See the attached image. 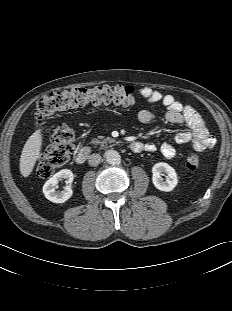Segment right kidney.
<instances>
[{
    "label": "right kidney",
    "mask_w": 232,
    "mask_h": 311,
    "mask_svg": "<svg viewBox=\"0 0 232 311\" xmlns=\"http://www.w3.org/2000/svg\"><path fill=\"white\" fill-rule=\"evenodd\" d=\"M65 179L67 184L61 192L56 191V187L59 181ZM74 175L71 170L63 169L54 174L43 185V193L45 197L54 203H63L67 201L73 194L71 189V183L73 182Z\"/></svg>",
    "instance_id": "1"
}]
</instances>
